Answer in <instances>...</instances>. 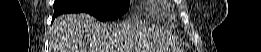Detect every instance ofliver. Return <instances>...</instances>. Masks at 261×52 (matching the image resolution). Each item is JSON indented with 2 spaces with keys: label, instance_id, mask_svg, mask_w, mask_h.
<instances>
[{
  "label": "liver",
  "instance_id": "1",
  "mask_svg": "<svg viewBox=\"0 0 261 52\" xmlns=\"http://www.w3.org/2000/svg\"><path fill=\"white\" fill-rule=\"evenodd\" d=\"M122 28L101 24L85 13L65 14L54 22V40L59 52H119L126 34Z\"/></svg>",
  "mask_w": 261,
  "mask_h": 52
}]
</instances>
